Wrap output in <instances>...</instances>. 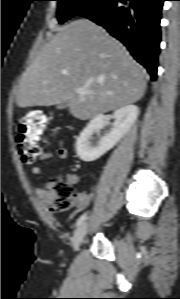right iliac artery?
<instances>
[{"mask_svg": "<svg viewBox=\"0 0 180 299\" xmlns=\"http://www.w3.org/2000/svg\"><path fill=\"white\" fill-rule=\"evenodd\" d=\"M86 218H87V213L81 215L76 221L75 227H78L80 224H82L86 220Z\"/></svg>", "mask_w": 180, "mask_h": 299, "instance_id": "1", "label": "right iliac artery"}]
</instances>
